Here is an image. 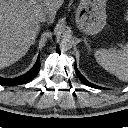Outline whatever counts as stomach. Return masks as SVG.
<instances>
[{"mask_svg":"<svg viewBox=\"0 0 128 128\" xmlns=\"http://www.w3.org/2000/svg\"><path fill=\"white\" fill-rule=\"evenodd\" d=\"M107 0H81L76 13L78 28L87 35H94L106 25Z\"/></svg>","mask_w":128,"mask_h":128,"instance_id":"0dacf381","label":"stomach"}]
</instances>
